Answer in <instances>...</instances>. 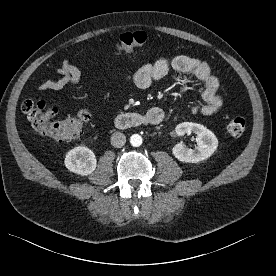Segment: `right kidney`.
I'll list each match as a JSON object with an SVG mask.
<instances>
[{
	"instance_id": "obj_1",
	"label": "right kidney",
	"mask_w": 276,
	"mask_h": 276,
	"mask_svg": "<svg viewBox=\"0 0 276 276\" xmlns=\"http://www.w3.org/2000/svg\"><path fill=\"white\" fill-rule=\"evenodd\" d=\"M66 168L76 174L87 176L97 165L94 152L85 146H78L70 150L64 160Z\"/></svg>"
}]
</instances>
